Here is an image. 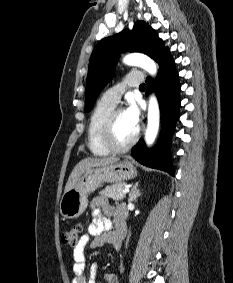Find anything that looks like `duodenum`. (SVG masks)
I'll return each mask as SVG.
<instances>
[{
  "instance_id": "410a0bca",
  "label": "duodenum",
  "mask_w": 233,
  "mask_h": 283,
  "mask_svg": "<svg viewBox=\"0 0 233 283\" xmlns=\"http://www.w3.org/2000/svg\"><path fill=\"white\" fill-rule=\"evenodd\" d=\"M123 219H125L124 216L117 223L116 228L112 234V243L117 250L120 249L122 241L125 237V232H126L125 221Z\"/></svg>"
}]
</instances>
